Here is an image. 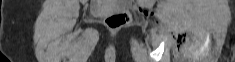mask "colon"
<instances>
[{"label":"colon","mask_w":235,"mask_h":62,"mask_svg":"<svg viewBox=\"0 0 235 62\" xmlns=\"http://www.w3.org/2000/svg\"><path fill=\"white\" fill-rule=\"evenodd\" d=\"M131 21V15L127 10H122L109 15L105 23L111 29H118L126 26Z\"/></svg>","instance_id":"obj_1"}]
</instances>
